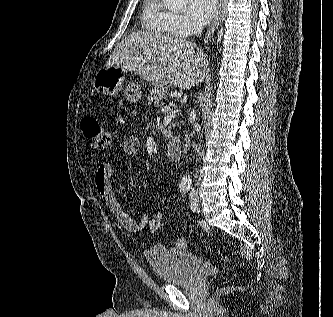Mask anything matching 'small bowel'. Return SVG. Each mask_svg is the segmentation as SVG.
<instances>
[{
	"mask_svg": "<svg viewBox=\"0 0 333 317\" xmlns=\"http://www.w3.org/2000/svg\"><path fill=\"white\" fill-rule=\"evenodd\" d=\"M137 116V111L132 112V117ZM140 150V141L134 135L125 137L121 152L124 155H134ZM115 164V157H108L103 160L97 167L94 176L95 187L102 198L104 204L112 213L114 219L127 231L138 233L148 225L150 216L144 215L140 219H135L128 215L122 208L112 187V173Z\"/></svg>",
	"mask_w": 333,
	"mask_h": 317,
	"instance_id": "1",
	"label": "small bowel"
}]
</instances>
